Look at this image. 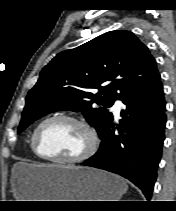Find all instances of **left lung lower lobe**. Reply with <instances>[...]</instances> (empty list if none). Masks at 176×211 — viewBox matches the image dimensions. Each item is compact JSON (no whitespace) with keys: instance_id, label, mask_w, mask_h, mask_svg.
I'll return each mask as SVG.
<instances>
[{"instance_id":"obj_1","label":"left lung lower lobe","mask_w":176,"mask_h":211,"mask_svg":"<svg viewBox=\"0 0 176 211\" xmlns=\"http://www.w3.org/2000/svg\"><path fill=\"white\" fill-rule=\"evenodd\" d=\"M120 127H107L98 152L82 165L119 174L151 198L165 139L166 107L160 77L125 97ZM119 134H115V130Z\"/></svg>"}]
</instances>
